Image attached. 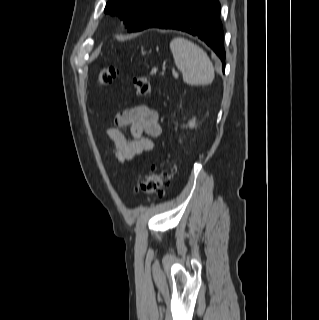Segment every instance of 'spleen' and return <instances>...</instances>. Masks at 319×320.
<instances>
[{
    "mask_svg": "<svg viewBox=\"0 0 319 320\" xmlns=\"http://www.w3.org/2000/svg\"><path fill=\"white\" fill-rule=\"evenodd\" d=\"M170 50L185 83L189 85L212 83L214 68L203 49L187 39L176 37L170 42Z\"/></svg>",
    "mask_w": 319,
    "mask_h": 320,
    "instance_id": "1",
    "label": "spleen"
}]
</instances>
